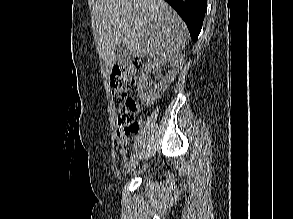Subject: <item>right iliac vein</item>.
<instances>
[{
  "instance_id": "right-iliac-vein-1",
  "label": "right iliac vein",
  "mask_w": 293,
  "mask_h": 219,
  "mask_svg": "<svg viewBox=\"0 0 293 219\" xmlns=\"http://www.w3.org/2000/svg\"><path fill=\"white\" fill-rule=\"evenodd\" d=\"M140 161V156H136L133 159H131L130 163L128 164V166L126 167V174L131 173L133 170L136 169V167L138 166Z\"/></svg>"
}]
</instances>
